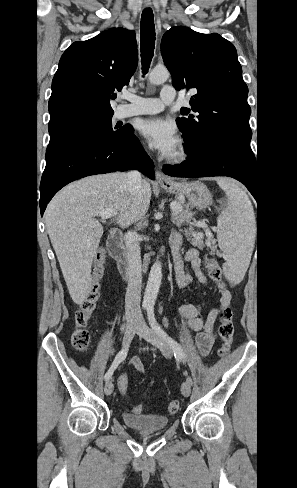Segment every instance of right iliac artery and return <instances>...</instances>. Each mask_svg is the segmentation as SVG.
Wrapping results in <instances>:
<instances>
[{
    "label": "right iliac artery",
    "instance_id": "obj_1",
    "mask_svg": "<svg viewBox=\"0 0 297 488\" xmlns=\"http://www.w3.org/2000/svg\"><path fill=\"white\" fill-rule=\"evenodd\" d=\"M128 347L129 345L125 346L121 351H119V353L116 355L112 365L110 366L109 370L107 371V373L105 374V380L108 381L112 375H113V372L114 370L118 367V365L123 361L125 360L126 356H127V353H128Z\"/></svg>",
    "mask_w": 297,
    "mask_h": 488
}]
</instances>
